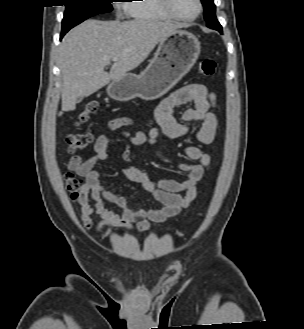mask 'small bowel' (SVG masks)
I'll return each mask as SVG.
<instances>
[{
    "label": "small bowel",
    "mask_w": 304,
    "mask_h": 329,
    "mask_svg": "<svg viewBox=\"0 0 304 329\" xmlns=\"http://www.w3.org/2000/svg\"><path fill=\"white\" fill-rule=\"evenodd\" d=\"M193 102V108L182 114L183 122L199 123L200 127L192 129L178 121L174 115L175 107ZM216 95L202 84L184 86L167 98L163 99L155 110V119L158 127L149 133H128L125 128L132 126V120L120 117L111 120L107 127L109 131L120 130V134L134 145H148L153 147L159 134L170 138L193 136L201 144L213 142L217 129L215 114ZM111 137L108 134L100 135L94 145V155L87 160L79 156H72L69 168L85 178L80 195L77 199L80 219L86 229L93 227L91 215L96 213L100 221L95 226L96 233L100 234L105 227H122L127 230H148L151 226L160 224L177 215L187 208L197 195V187L202 179L204 170L209 166L211 158L196 146H187L185 154L188 162H179L176 167L186 175L184 180L160 179L152 181L146 170L134 166L124 169L129 179L139 183L147 193L162 204L161 208L146 207L133 210L128 207L126 197L115 191L108 190L101 180V173L96 166L108 158V146ZM184 192V194H181ZM110 202L120 209V213L109 210L104 202ZM93 205H91V203Z\"/></svg>",
    "instance_id": "small-bowel-1"
}]
</instances>
